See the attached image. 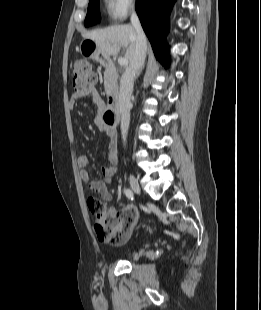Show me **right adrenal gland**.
Returning a JSON list of instances; mask_svg holds the SVG:
<instances>
[{"instance_id":"2a0ac1e0","label":"right adrenal gland","mask_w":261,"mask_h":310,"mask_svg":"<svg viewBox=\"0 0 261 310\" xmlns=\"http://www.w3.org/2000/svg\"><path fill=\"white\" fill-rule=\"evenodd\" d=\"M142 70H143V69H141V70L137 73V75H136V79L140 76V74H141Z\"/></svg>"}]
</instances>
